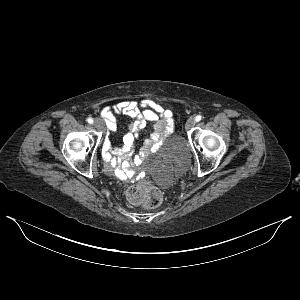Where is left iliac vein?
<instances>
[{
    "mask_svg": "<svg viewBox=\"0 0 300 300\" xmlns=\"http://www.w3.org/2000/svg\"><path fill=\"white\" fill-rule=\"evenodd\" d=\"M195 123H196L195 118H194V117H190V118L187 120V122H186L185 128H186L187 130H189V129H191L192 127H194Z\"/></svg>",
    "mask_w": 300,
    "mask_h": 300,
    "instance_id": "4c4485c4",
    "label": "left iliac vein"
}]
</instances>
